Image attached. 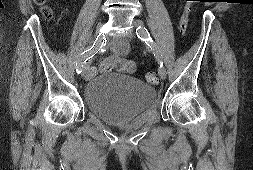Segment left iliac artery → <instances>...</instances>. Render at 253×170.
Listing matches in <instances>:
<instances>
[{
    "label": "left iliac artery",
    "instance_id": "left-iliac-artery-1",
    "mask_svg": "<svg viewBox=\"0 0 253 170\" xmlns=\"http://www.w3.org/2000/svg\"><path fill=\"white\" fill-rule=\"evenodd\" d=\"M136 34H137L138 38H140L148 46L151 47V50L153 51L156 60L158 61V63L162 67L163 66L162 56H161L160 51H159L158 47L156 46L155 42L152 40L148 30L145 27L139 26L136 29Z\"/></svg>",
    "mask_w": 253,
    "mask_h": 170
}]
</instances>
